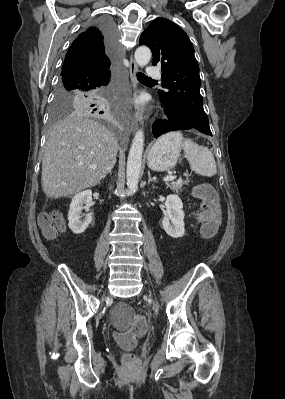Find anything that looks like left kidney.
I'll use <instances>...</instances> for the list:
<instances>
[{
	"instance_id": "1",
	"label": "left kidney",
	"mask_w": 285,
	"mask_h": 399,
	"mask_svg": "<svg viewBox=\"0 0 285 399\" xmlns=\"http://www.w3.org/2000/svg\"><path fill=\"white\" fill-rule=\"evenodd\" d=\"M166 212L162 220L165 232L172 238H181L185 233L183 203L178 195H168L165 202Z\"/></svg>"
}]
</instances>
